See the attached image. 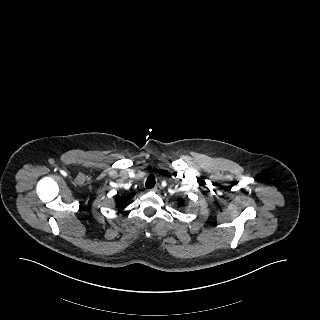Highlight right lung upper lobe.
<instances>
[{"label":"right lung upper lobe","mask_w":320,"mask_h":320,"mask_svg":"<svg viewBox=\"0 0 320 320\" xmlns=\"http://www.w3.org/2000/svg\"><path fill=\"white\" fill-rule=\"evenodd\" d=\"M134 196H135V193H131L128 196H118L117 195L115 198V203H116L117 207H121V206H123V204H125L127 201H129Z\"/></svg>","instance_id":"cb5924a9"}]
</instances>
